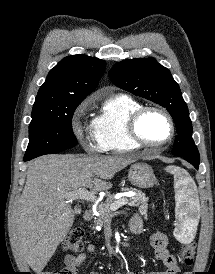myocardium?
I'll return each instance as SVG.
<instances>
[{
  "label": "myocardium",
  "mask_w": 215,
  "mask_h": 274,
  "mask_svg": "<svg viewBox=\"0 0 215 274\" xmlns=\"http://www.w3.org/2000/svg\"><path fill=\"white\" fill-rule=\"evenodd\" d=\"M149 112H157L164 116L170 126V134L167 139L159 143H151L145 140L139 131V124L141 119ZM127 131L130 139L138 144L139 146L149 147V148H161L169 144L175 136V123L171 115L164 109L156 106H142L135 110L128 118L127 121Z\"/></svg>",
  "instance_id": "myocardium-1"
}]
</instances>
